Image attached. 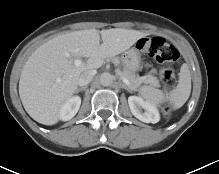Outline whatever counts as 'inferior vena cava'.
<instances>
[{"instance_id":"inferior-vena-cava-1","label":"inferior vena cava","mask_w":219,"mask_h":174,"mask_svg":"<svg viewBox=\"0 0 219 174\" xmlns=\"http://www.w3.org/2000/svg\"><path fill=\"white\" fill-rule=\"evenodd\" d=\"M95 74H96V70H88L83 72L79 77L78 84L80 86H86L92 81Z\"/></svg>"}]
</instances>
